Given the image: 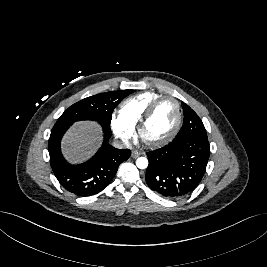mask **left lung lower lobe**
<instances>
[{"instance_id":"obj_1","label":"left lung lower lobe","mask_w":267,"mask_h":267,"mask_svg":"<svg viewBox=\"0 0 267 267\" xmlns=\"http://www.w3.org/2000/svg\"><path fill=\"white\" fill-rule=\"evenodd\" d=\"M210 155L208 138L188 137L147 152L148 186L167 198L190 194L200 183Z\"/></svg>"}]
</instances>
